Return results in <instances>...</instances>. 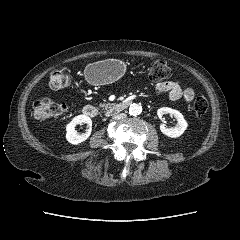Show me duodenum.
<instances>
[{
    "label": "duodenum",
    "instance_id": "obj_1",
    "mask_svg": "<svg viewBox=\"0 0 240 240\" xmlns=\"http://www.w3.org/2000/svg\"><path fill=\"white\" fill-rule=\"evenodd\" d=\"M132 101L125 100L121 102H116L111 105H109L106 109V114H113L121 112L125 109H127L131 105ZM82 113L87 117H95L97 115V110L95 107L91 105H85L82 108Z\"/></svg>",
    "mask_w": 240,
    "mask_h": 240
}]
</instances>
